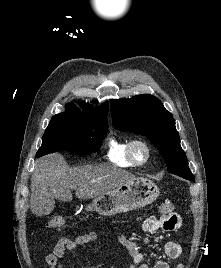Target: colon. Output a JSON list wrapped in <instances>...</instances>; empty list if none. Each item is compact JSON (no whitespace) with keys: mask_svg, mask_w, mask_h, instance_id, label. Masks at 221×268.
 <instances>
[{"mask_svg":"<svg viewBox=\"0 0 221 268\" xmlns=\"http://www.w3.org/2000/svg\"><path fill=\"white\" fill-rule=\"evenodd\" d=\"M174 203L170 199L164 200L160 206H159V211L163 216H169L173 214L174 210ZM65 225V220L62 216L60 215H55L53 216L48 222H47V227L51 229H61Z\"/></svg>","mask_w":221,"mask_h":268,"instance_id":"obj_1","label":"colon"}]
</instances>
